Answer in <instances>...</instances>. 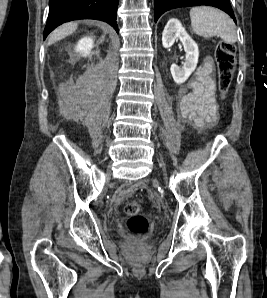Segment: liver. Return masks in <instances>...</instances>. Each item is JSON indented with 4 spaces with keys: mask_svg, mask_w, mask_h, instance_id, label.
Listing matches in <instances>:
<instances>
[{
    "mask_svg": "<svg viewBox=\"0 0 267 298\" xmlns=\"http://www.w3.org/2000/svg\"><path fill=\"white\" fill-rule=\"evenodd\" d=\"M77 27V23H66L58 27L51 33L49 37V45L67 37L68 35H71L74 31H76Z\"/></svg>",
    "mask_w": 267,
    "mask_h": 298,
    "instance_id": "6515ba94",
    "label": "liver"
}]
</instances>
